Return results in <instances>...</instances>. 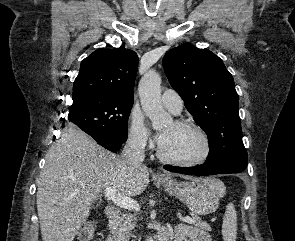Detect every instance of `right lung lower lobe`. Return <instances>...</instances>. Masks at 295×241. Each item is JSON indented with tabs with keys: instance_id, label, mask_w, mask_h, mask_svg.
Segmentation results:
<instances>
[{
	"instance_id": "1",
	"label": "right lung lower lobe",
	"mask_w": 295,
	"mask_h": 241,
	"mask_svg": "<svg viewBox=\"0 0 295 241\" xmlns=\"http://www.w3.org/2000/svg\"><path fill=\"white\" fill-rule=\"evenodd\" d=\"M101 146L104 148L116 152L121 148L122 143H117V142H110L108 140H105L103 138L97 137V136H92Z\"/></svg>"
}]
</instances>
